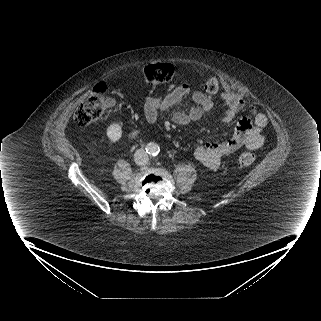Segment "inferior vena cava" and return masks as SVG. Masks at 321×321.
Segmentation results:
<instances>
[{
    "label": "inferior vena cava",
    "instance_id": "602c4592",
    "mask_svg": "<svg viewBox=\"0 0 321 321\" xmlns=\"http://www.w3.org/2000/svg\"><path fill=\"white\" fill-rule=\"evenodd\" d=\"M134 160L137 165H146L149 161V156L144 149H138L134 154Z\"/></svg>",
    "mask_w": 321,
    "mask_h": 321
}]
</instances>
